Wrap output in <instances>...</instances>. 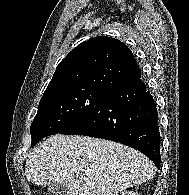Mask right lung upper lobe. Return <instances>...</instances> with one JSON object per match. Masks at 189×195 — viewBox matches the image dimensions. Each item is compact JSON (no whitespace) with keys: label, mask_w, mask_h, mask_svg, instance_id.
<instances>
[{"label":"right lung upper lobe","mask_w":189,"mask_h":195,"mask_svg":"<svg viewBox=\"0 0 189 195\" xmlns=\"http://www.w3.org/2000/svg\"><path fill=\"white\" fill-rule=\"evenodd\" d=\"M141 77L131 50L111 37H95L73 49L57 66L44 95L74 88L113 91Z\"/></svg>","instance_id":"cb5924a9"}]
</instances>
